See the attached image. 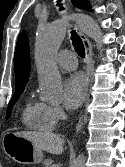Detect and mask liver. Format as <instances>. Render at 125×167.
Instances as JSON below:
<instances>
[{"label":"liver","instance_id":"obj_1","mask_svg":"<svg viewBox=\"0 0 125 167\" xmlns=\"http://www.w3.org/2000/svg\"><path fill=\"white\" fill-rule=\"evenodd\" d=\"M15 134L31 141L40 150H45L55 155L63 153L64 139L60 135L31 131H21Z\"/></svg>","mask_w":125,"mask_h":167}]
</instances>
